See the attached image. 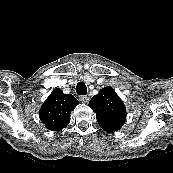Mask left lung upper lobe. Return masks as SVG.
<instances>
[{"instance_id": "obj_1", "label": "left lung upper lobe", "mask_w": 173, "mask_h": 173, "mask_svg": "<svg viewBox=\"0 0 173 173\" xmlns=\"http://www.w3.org/2000/svg\"><path fill=\"white\" fill-rule=\"evenodd\" d=\"M89 107L96 113L100 127L108 133L118 131L125 122L126 108L110 86L93 96L89 101Z\"/></svg>"}]
</instances>
